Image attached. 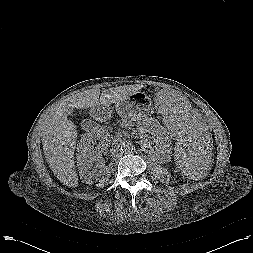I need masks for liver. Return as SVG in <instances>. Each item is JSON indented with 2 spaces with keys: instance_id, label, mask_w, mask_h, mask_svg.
Segmentation results:
<instances>
[{
  "instance_id": "6515ba94",
  "label": "liver",
  "mask_w": 253,
  "mask_h": 253,
  "mask_svg": "<svg viewBox=\"0 0 253 253\" xmlns=\"http://www.w3.org/2000/svg\"><path fill=\"white\" fill-rule=\"evenodd\" d=\"M142 88L141 84H133L114 87L102 93L99 88L86 90L60 102L47 116L41 127V140L46 161L60 182L73 188L78 185L74 162L77 130L75 124L68 120L73 109L109 107L126 100Z\"/></svg>"
}]
</instances>
